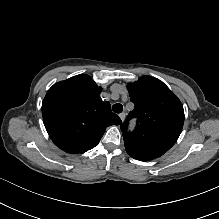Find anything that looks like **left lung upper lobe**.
Masks as SVG:
<instances>
[{"label": "left lung upper lobe", "mask_w": 219, "mask_h": 219, "mask_svg": "<svg viewBox=\"0 0 219 219\" xmlns=\"http://www.w3.org/2000/svg\"><path fill=\"white\" fill-rule=\"evenodd\" d=\"M128 91L135 108L121 125L126 151L141 161L158 158L174 145L182 131V103L162 81L147 75L128 84ZM131 118L137 119L136 128L127 132Z\"/></svg>", "instance_id": "1"}]
</instances>
